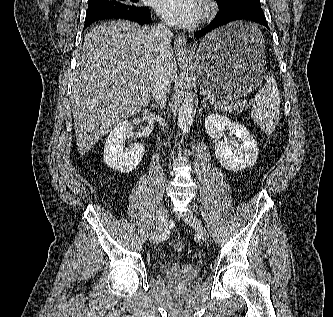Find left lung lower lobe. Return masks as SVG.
Segmentation results:
<instances>
[{"instance_id":"1","label":"left lung lower lobe","mask_w":333,"mask_h":317,"mask_svg":"<svg viewBox=\"0 0 333 317\" xmlns=\"http://www.w3.org/2000/svg\"><path fill=\"white\" fill-rule=\"evenodd\" d=\"M238 20H250L257 22L265 27H268L264 12L261 5L249 6V7H239L236 9H231L227 11H221L217 13L215 18L204 28L198 30L194 33V36L199 39L208 32L214 29L222 27L230 22Z\"/></svg>"}]
</instances>
